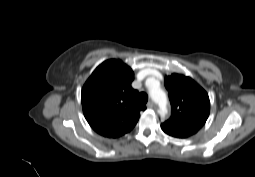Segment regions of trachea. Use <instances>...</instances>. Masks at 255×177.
<instances>
[{
  "instance_id": "obj_1",
  "label": "trachea",
  "mask_w": 255,
  "mask_h": 177,
  "mask_svg": "<svg viewBox=\"0 0 255 177\" xmlns=\"http://www.w3.org/2000/svg\"><path fill=\"white\" fill-rule=\"evenodd\" d=\"M137 101L141 104H146L148 101V95L146 92H141L137 96Z\"/></svg>"
}]
</instances>
